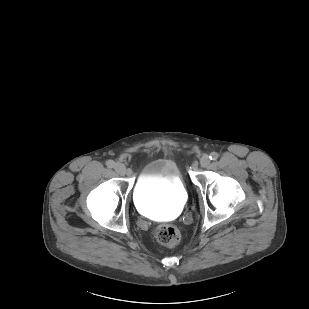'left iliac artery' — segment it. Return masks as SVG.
I'll return each instance as SVG.
<instances>
[{"mask_svg":"<svg viewBox=\"0 0 309 309\" xmlns=\"http://www.w3.org/2000/svg\"><path fill=\"white\" fill-rule=\"evenodd\" d=\"M218 157H219V155H218V153H216V152H212V153L210 154V156H209V158H210L211 160H217Z\"/></svg>","mask_w":309,"mask_h":309,"instance_id":"1","label":"left iliac artery"}]
</instances>
